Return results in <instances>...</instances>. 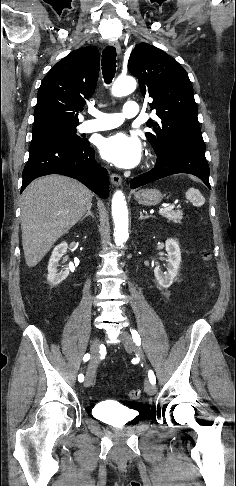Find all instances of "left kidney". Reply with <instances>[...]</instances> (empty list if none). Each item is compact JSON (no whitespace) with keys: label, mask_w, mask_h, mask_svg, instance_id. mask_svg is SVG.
I'll use <instances>...</instances> for the list:
<instances>
[{"label":"left kidney","mask_w":236,"mask_h":486,"mask_svg":"<svg viewBox=\"0 0 236 486\" xmlns=\"http://www.w3.org/2000/svg\"><path fill=\"white\" fill-rule=\"evenodd\" d=\"M168 259L166 260L167 271L163 272L160 267H155L154 275L160 286L170 287L178 274L181 263V251L179 244L174 239H167L165 242Z\"/></svg>","instance_id":"left-kidney-1"}]
</instances>
